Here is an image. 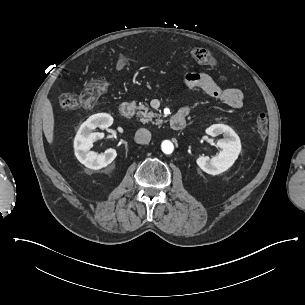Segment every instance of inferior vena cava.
I'll return each instance as SVG.
<instances>
[{
  "label": "inferior vena cava",
  "mask_w": 305,
  "mask_h": 305,
  "mask_svg": "<svg viewBox=\"0 0 305 305\" xmlns=\"http://www.w3.org/2000/svg\"><path fill=\"white\" fill-rule=\"evenodd\" d=\"M135 139L140 144H147L151 140V133L148 129L140 128L135 133Z\"/></svg>",
  "instance_id": "602c4592"
}]
</instances>
